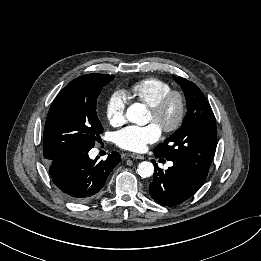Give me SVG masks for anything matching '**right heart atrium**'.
Wrapping results in <instances>:
<instances>
[{
    "label": "right heart atrium",
    "mask_w": 261,
    "mask_h": 261,
    "mask_svg": "<svg viewBox=\"0 0 261 261\" xmlns=\"http://www.w3.org/2000/svg\"><path fill=\"white\" fill-rule=\"evenodd\" d=\"M126 106V97L122 91L110 95L106 102L105 113L111 125L120 126L125 122Z\"/></svg>",
    "instance_id": "right-heart-atrium-1"
}]
</instances>
